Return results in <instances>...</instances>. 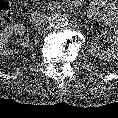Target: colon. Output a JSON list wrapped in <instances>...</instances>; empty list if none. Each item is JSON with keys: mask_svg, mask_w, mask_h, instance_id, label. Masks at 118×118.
<instances>
[{"mask_svg": "<svg viewBox=\"0 0 118 118\" xmlns=\"http://www.w3.org/2000/svg\"><path fill=\"white\" fill-rule=\"evenodd\" d=\"M11 15L12 11L8 0H0V25L8 23L11 19Z\"/></svg>", "mask_w": 118, "mask_h": 118, "instance_id": "5ec220e1", "label": "colon"}]
</instances>
